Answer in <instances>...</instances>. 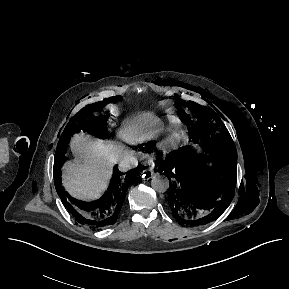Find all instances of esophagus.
Instances as JSON below:
<instances>
[{
  "mask_svg": "<svg viewBox=\"0 0 289 289\" xmlns=\"http://www.w3.org/2000/svg\"><path fill=\"white\" fill-rule=\"evenodd\" d=\"M155 175V171L152 168H147L143 171L142 178L144 180H149Z\"/></svg>",
  "mask_w": 289,
  "mask_h": 289,
  "instance_id": "obj_1",
  "label": "esophagus"
}]
</instances>
